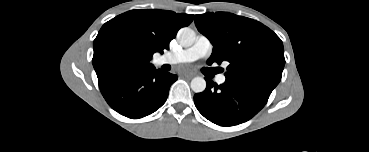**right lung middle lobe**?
<instances>
[{
	"label": "right lung middle lobe",
	"instance_id": "right-lung-middle-lobe-1",
	"mask_svg": "<svg viewBox=\"0 0 369 152\" xmlns=\"http://www.w3.org/2000/svg\"><path fill=\"white\" fill-rule=\"evenodd\" d=\"M127 64H128V60L127 59H125V58H119V59H117L113 63L112 68L114 70H122V69H124L127 66Z\"/></svg>",
	"mask_w": 369,
	"mask_h": 152
}]
</instances>
